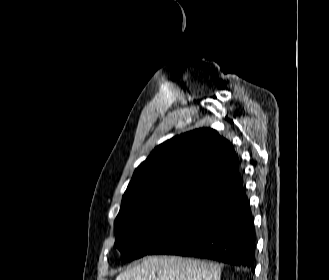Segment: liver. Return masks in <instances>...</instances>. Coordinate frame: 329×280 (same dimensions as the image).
Masks as SVG:
<instances>
[{"label":"liver","mask_w":329,"mask_h":280,"mask_svg":"<svg viewBox=\"0 0 329 280\" xmlns=\"http://www.w3.org/2000/svg\"><path fill=\"white\" fill-rule=\"evenodd\" d=\"M221 267L213 262L179 256H149L120 273L116 280H220Z\"/></svg>","instance_id":"6515ba94"}]
</instances>
